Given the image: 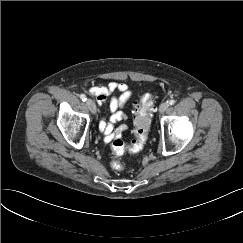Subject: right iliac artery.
<instances>
[{
	"instance_id": "obj_1",
	"label": "right iliac artery",
	"mask_w": 243,
	"mask_h": 243,
	"mask_svg": "<svg viewBox=\"0 0 243 243\" xmlns=\"http://www.w3.org/2000/svg\"><path fill=\"white\" fill-rule=\"evenodd\" d=\"M80 99H81L82 101H86V100H87V98H86V96H85L84 94H81V95H80Z\"/></svg>"
}]
</instances>
